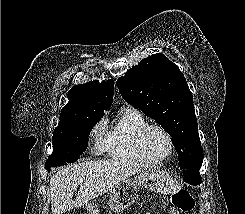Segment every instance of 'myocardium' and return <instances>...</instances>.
I'll list each match as a JSON object with an SVG mask.
<instances>
[{
	"label": "myocardium",
	"instance_id": "myocardium-1",
	"mask_svg": "<svg viewBox=\"0 0 245 214\" xmlns=\"http://www.w3.org/2000/svg\"><path fill=\"white\" fill-rule=\"evenodd\" d=\"M155 129L160 131L161 133L164 134V136L166 137L167 141H168V152L167 154L158 160H152L150 158H148V156L145 153L144 150V139L145 136L147 134L148 131ZM135 148L136 151L138 153V155L140 156V158L143 160V162L149 166H158L163 164L164 162H166L167 160L170 159V157L173 155L174 152V141L173 138L171 136V134L169 133V131L167 129H165L164 127L157 125V124H146L145 126L141 127L138 132L135 135Z\"/></svg>",
	"mask_w": 245,
	"mask_h": 214
}]
</instances>
